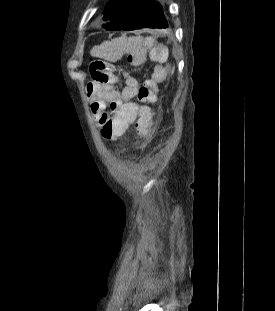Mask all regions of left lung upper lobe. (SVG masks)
<instances>
[{"mask_svg":"<svg viewBox=\"0 0 275 311\" xmlns=\"http://www.w3.org/2000/svg\"><path fill=\"white\" fill-rule=\"evenodd\" d=\"M145 2L146 0H110L104 11L107 22L103 27L108 31L122 30Z\"/></svg>","mask_w":275,"mask_h":311,"instance_id":"left-lung-upper-lobe-1","label":"left lung upper lobe"}]
</instances>
